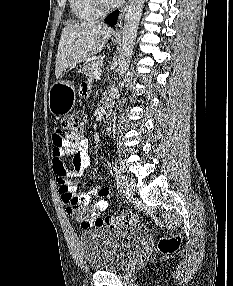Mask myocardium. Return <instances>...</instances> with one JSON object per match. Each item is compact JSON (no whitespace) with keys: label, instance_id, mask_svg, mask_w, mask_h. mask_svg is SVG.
<instances>
[{"label":"myocardium","instance_id":"1","mask_svg":"<svg viewBox=\"0 0 233 286\" xmlns=\"http://www.w3.org/2000/svg\"><path fill=\"white\" fill-rule=\"evenodd\" d=\"M92 2L100 14L108 13L119 5L116 2L107 3L105 0H92Z\"/></svg>","mask_w":233,"mask_h":286}]
</instances>
